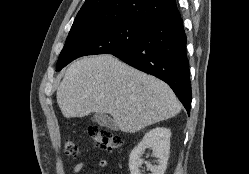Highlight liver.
Masks as SVG:
<instances>
[{"label": "liver", "mask_w": 249, "mask_h": 174, "mask_svg": "<svg viewBox=\"0 0 249 174\" xmlns=\"http://www.w3.org/2000/svg\"><path fill=\"white\" fill-rule=\"evenodd\" d=\"M56 97L64 117L107 113L125 133L172 118L182 108L165 82L108 54L72 63Z\"/></svg>", "instance_id": "6515ba94"}]
</instances>
